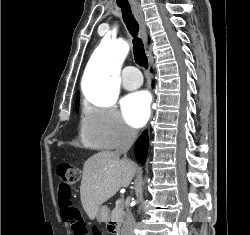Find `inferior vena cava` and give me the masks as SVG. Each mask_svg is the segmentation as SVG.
<instances>
[{"label": "inferior vena cava", "instance_id": "inferior-vena-cava-1", "mask_svg": "<svg viewBox=\"0 0 250 235\" xmlns=\"http://www.w3.org/2000/svg\"><path fill=\"white\" fill-rule=\"evenodd\" d=\"M137 137V132L127 126L122 127L121 139L115 153L117 155L126 154ZM136 225L135 218L130 210H127L126 220L123 224L121 235H134Z\"/></svg>", "mask_w": 250, "mask_h": 235}]
</instances>
